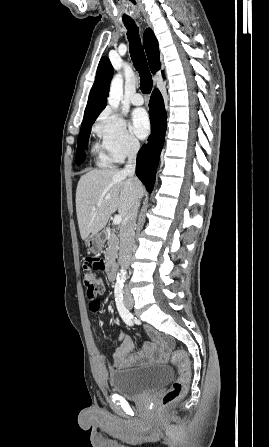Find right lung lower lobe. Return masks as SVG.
<instances>
[{"label": "right lung lower lobe", "instance_id": "1", "mask_svg": "<svg viewBox=\"0 0 269 447\" xmlns=\"http://www.w3.org/2000/svg\"><path fill=\"white\" fill-rule=\"evenodd\" d=\"M149 115L152 131L148 143L144 144L137 155L136 175L152 191L156 167L164 144L166 131V111L164 101L158 89H154L149 102Z\"/></svg>", "mask_w": 269, "mask_h": 447}]
</instances>
